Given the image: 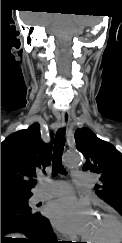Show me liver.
<instances>
[{
	"label": "liver",
	"instance_id": "1",
	"mask_svg": "<svg viewBox=\"0 0 122 243\" xmlns=\"http://www.w3.org/2000/svg\"><path fill=\"white\" fill-rule=\"evenodd\" d=\"M15 236H16L15 238H19V236H21V235H19V234H16Z\"/></svg>",
	"mask_w": 122,
	"mask_h": 243
}]
</instances>
